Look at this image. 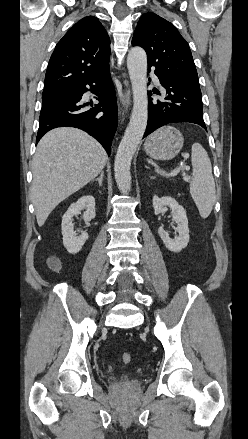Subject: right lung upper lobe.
Wrapping results in <instances>:
<instances>
[{
    "label": "right lung upper lobe",
    "mask_w": 248,
    "mask_h": 439,
    "mask_svg": "<svg viewBox=\"0 0 248 439\" xmlns=\"http://www.w3.org/2000/svg\"><path fill=\"white\" fill-rule=\"evenodd\" d=\"M110 39L94 16L78 21L51 55L42 99L64 92L109 67Z\"/></svg>",
    "instance_id": "cb5924a9"
}]
</instances>
